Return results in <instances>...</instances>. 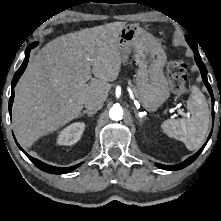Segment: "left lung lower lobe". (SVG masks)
I'll return each mask as SVG.
<instances>
[{"label":"left lung lower lobe","mask_w":221,"mask_h":221,"mask_svg":"<svg viewBox=\"0 0 221 221\" xmlns=\"http://www.w3.org/2000/svg\"><path fill=\"white\" fill-rule=\"evenodd\" d=\"M193 51H194V54H195V61H196L197 65H198V67L200 68L202 79H203V81L205 83V86L207 87V89H208V91H209V93H210V95L212 97V102H213V106H214V97H213L212 89H211V86H210V84H209V82L207 80V69H206L204 63L202 62L201 57H200L198 51L197 50H193ZM210 136H211V134L209 135V138H210ZM209 138H208V140H209ZM208 140L206 141V143L203 145V147L196 154H194L193 156L189 157L188 159H186L181 164L175 165V166H167V165H162V164L156 163V166L161 168V169L170 170V171L182 169V168L190 165L199 156V154L202 152V150L206 146Z\"/></svg>","instance_id":"left-lung-lower-lobe-1"}]
</instances>
